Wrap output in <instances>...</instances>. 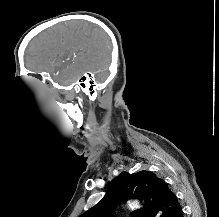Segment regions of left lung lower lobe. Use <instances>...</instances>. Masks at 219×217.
Returning a JSON list of instances; mask_svg holds the SVG:
<instances>
[{
    "mask_svg": "<svg viewBox=\"0 0 219 217\" xmlns=\"http://www.w3.org/2000/svg\"><path fill=\"white\" fill-rule=\"evenodd\" d=\"M174 217H184V216H183V211H182L181 206H180V208L178 209V211L176 212V214L174 215Z\"/></svg>",
    "mask_w": 219,
    "mask_h": 217,
    "instance_id": "left-lung-lower-lobe-1",
    "label": "left lung lower lobe"
}]
</instances>
